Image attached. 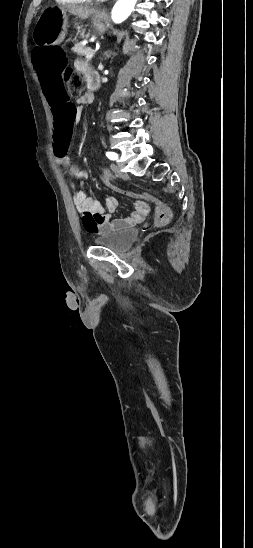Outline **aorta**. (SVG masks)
Returning <instances> with one entry per match:
<instances>
[{
    "instance_id": "obj_1",
    "label": "aorta",
    "mask_w": 253,
    "mask_h": 548,
    "mask_svg": "<svg viewBox=\"0 0 253 548\" xmlns=\"http://www.w3.org/2000/svg\"><path fill=\"white\" fill-rule=\"evenodd\" d=\"M137 0H118L111 12L112 21L116 24L125 21L132 13Z\"/></svg>"
}]
</instances>
